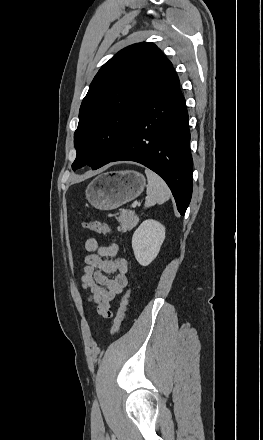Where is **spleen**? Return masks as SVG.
Listing matches in <instances>:
<instances>
[{
	"label": "spleen",
	"mask_w": 263,
	"mask_h": 440,
	"mask_svg": "<svg viewBox=\"0 0 263 440\" xmlns=\"http://www.w3.org/2000/svg\"><path fill=\"white\" fill-rule=\"evenodd\" d=\"M145 174L148 180L145 208L168 201L172 194L165 181L150 169H145Z\"/></svg>",
	"instance_id": "1"
}]
</instances>
